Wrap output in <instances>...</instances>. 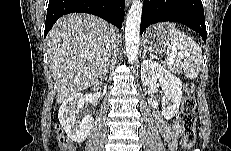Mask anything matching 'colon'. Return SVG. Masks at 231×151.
<instances>
[{"label":"colon","mask_w":231,"mask_h":151,"mask_svg":"<svg viewBox=\"0 0 231 151\" xmlns=\"http://www.w3.org/2000/svg\"><path fill=\"white\" fill-rule=\"evenodd\" d=\"M186 95L182 100L180 120L182 123V145L184 148L193 146L196 140V100L193 96L194 85L189 83L186 85ZM57 141L63 151H74V147L70 140L66 137L60 128L56 129Z\"/></svg>","instance_id":"5ec220e1"}]
</instances>
